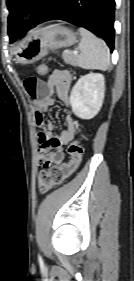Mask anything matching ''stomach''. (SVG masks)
I'll return each mask as SVG.
<instances>
[{"instance_id": "1", "label": "stomach", "mask_w": 134, "mask_h": 281, "mask_svg": "<svg viewBox=\"0 0 134 281\" xmlns=\"http://www.w3.org/2000/svg\"><path fill=\"white\" fill-rule=\"evenodd\" d=\"M76 42V34L59 25H54L29 36L19 47L15 56L16 61L21 64H31L49 51L59 48L70 47Z\"/></svg>"}]
</instances>
